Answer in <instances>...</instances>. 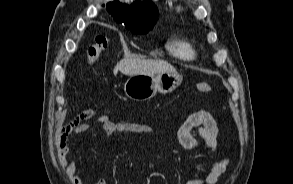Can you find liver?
<instances>
[{"mask_svg":"<svg viewBox=\"0 0 293 184\" xmlns=\"http://www.w3.org/2000/svg\"><path fill=\"white\" fill-rule=\"evenodd\" d=\"M118 70L124 75L146 74L154 75L162 72H176V69L166 61L129 58L123 59L114 67V74Z\"/></svg>","mask_w":293,"mask_h":184,"instance_id":"obj_1","label":"liver"}]
</instances>
